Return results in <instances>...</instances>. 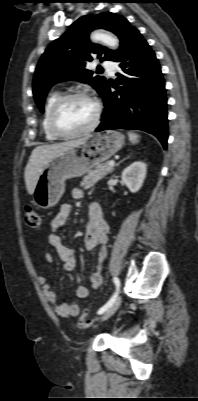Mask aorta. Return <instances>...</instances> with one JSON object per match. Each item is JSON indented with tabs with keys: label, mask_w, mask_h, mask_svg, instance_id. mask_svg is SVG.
Here are the masks:
<instances>
[{
	"label": "aorta",
	"mask_w": 198,
	"mask_h": 401,
	"mask_svg": "<svg viewBox=\"0 0 198 401\" xmlns=\"http://www.w3.org/2000/svg\"><path fill=\"white\" fill-rule=\"evenodd\" d=\"M91 39L94 42H102L112 49H116L119 46V41L115 36L102 31L94 32L91 35Z\"/></svg>",
	"instance_id": "obj_1"
}]
</instances>
